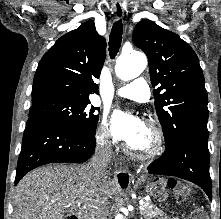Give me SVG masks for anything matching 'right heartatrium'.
I'll use <instances>...</instances> for the list:
<instances>
[{
  "label": "right heart atrium",
  "mask_w": 221,
  "mask_h": 219,
  "mask_svg": "<svg viewBox=\"0 0 221 219\" xmlns=\"http://www.w3.org/2000/svg\"><path fill=\"white\" fill-rule=\"evenodd\" d=\"M96 137H97V141L101 143L103 146L109 145V128L104 119L101 120L98 126Z\"/></svg>",
  "instance_id": "right-heart-atrium-1"
}]
</instances>
